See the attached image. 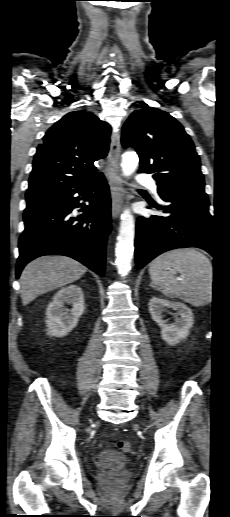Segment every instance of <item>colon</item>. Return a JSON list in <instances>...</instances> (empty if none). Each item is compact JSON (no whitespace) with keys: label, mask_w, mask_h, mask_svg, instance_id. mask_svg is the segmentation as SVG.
I'll list each match as a JSON object with an SVG mask.
<instances>
[{"label":"colon","mask_w":230,"mask_h":517,"mask_svg":"<svg viewBox=\"0 0 230 517\" xmlns=\"http://www.w3.org/2000/svg\"><path fill=\"white\" fill-rule=\"evenodd\" d=\"M116 447L123 452H128L131 449L130 443L128 441H124V440L117 441Z\"/></svg>","instance_id":"obj_1"}]
</instances>
